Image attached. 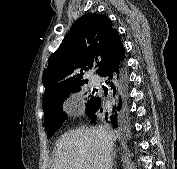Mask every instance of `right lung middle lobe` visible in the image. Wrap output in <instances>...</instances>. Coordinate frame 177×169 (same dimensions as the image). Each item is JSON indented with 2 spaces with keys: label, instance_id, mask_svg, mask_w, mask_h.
I'll return each mask as SVG.
<instances>
[{
  "label": "right lung middle lobe",
  "instance_id": "dd1d6c3e",
  "mask_svg": "<svg viewBox=\"0 0 177 169\" xmlns=\"http://www.w3.org/2000/svg\"><path fill=\"white\" fill-rule=\"evenodd\" d=\"M80 91V86H77L68 92L64 93L60 98L57 100L44 104V112H45V129L47 132L48 138L52 136V134L59 128L60 124L65 121L67 118L66 114L62 110V104L67 96L71 93H76ZM94 96H90V99L86 103V111L92 105ZM124 120L119 123V126L123 125Z\"/></svg>",
  "mask_w": 177,
  "mask_h": 169
}]
</instances>
